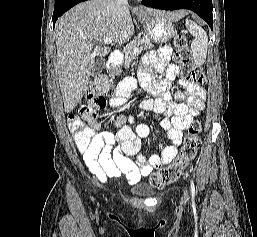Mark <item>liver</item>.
Masks as SVG:
<instances>
[{
	"mask_svg": "<svg viewBox=\"0 0 257 237\" xmlns=\"http://www.w3.org/2000/svg\"><path fill=\"white\" fill-rule=\"evenodd\" d=\"M148 13L164 15L178 21L182 13H165L147 8ZM134 33L129 7L117 0H91L66 12L56 23L57 67L65 112H71L87 90L97 56H105L109 48L97 45L106 37L126 43Z\"/></svg>",
	"mask_w": 257,
	"mask_h": 237,
	"instance_id": "obj_1",
	"label": "liver"
}]
</instances>
